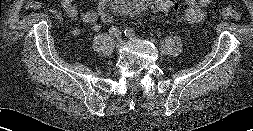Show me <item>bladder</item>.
<instances>
[{"label":"bladder","instance_id":"1","mask_svg":"<svg viewBox=\"0 0 253 131\" xmlns=\"http://www.w3.org/2000/svg\"><path fill=\"white\" fill-rule=\"evenodd\" d=\"M143 5L140 0H113L111 12L113 15H131L137 13Z\"/></svg>","mask_w":253,"mask_h":131}]
</instances>
